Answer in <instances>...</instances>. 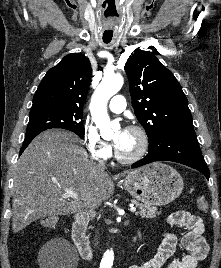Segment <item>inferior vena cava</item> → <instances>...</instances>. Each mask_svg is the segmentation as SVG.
Segmentation results:
<instances>
[{"instance_id": "602c4592", "label": "inferior vena cava", "mask_w": 221, "mask_h": 268, "mask_svg": "<svg viewBox=\"0 0 221 268\" xmlns=\"http://www.w3.org/2000/svg\"><path fill=\"white\" fill-rule=\"evenodd\" d=\"M98 167L104 170L105 163L103 161H98ZM95 241H97V239H95ZM97 244H98V241L94 245H97Z\"/></svg>"}]
</instances>
